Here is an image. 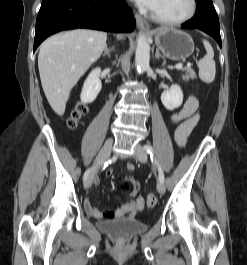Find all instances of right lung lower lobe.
<instances>
[{"label": "right lung lower lobe", "mask_w": 247, "mask_h": 265, "mask_svg": "<svg viewBox=\"0 0 247 265\" xmlns=\"http://www.w3.org/2000/svg\"><path fill=\"white\" fill-rule=\"evenodd\" d=\"M125 0H43L36 21L34 51L48 36L75 28L131 32L135 20L131 9L121 14Z\"/></svg>", "instance_id": "98d812e1"}]
</instances>
